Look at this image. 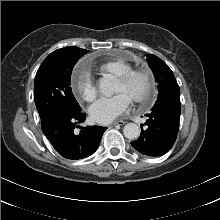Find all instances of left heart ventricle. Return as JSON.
<instances>
[{"label": "left heart ventricle", "instance_id": "left-heart-ventricle-1", "mask_svg": "<svg viewBox=\"0 0 220 220\" xmlns=\"http://www.w3.org/2000/svg\"><path fill=\"white\" fill-rule=\"evenodd\" d=\"M145 89L144 79L141 77L133 79L129 83L118 82L116 86V91L119 93H127L133 99L139 97Z\"/></svg>", "mask_w": 220, "mask_h": 220}]
</instances>
